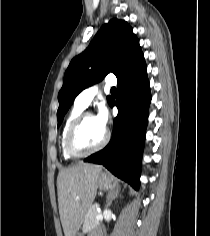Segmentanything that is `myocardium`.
Returning a JSON list of instances; mask_svg holds the SVG:
<instances>
[{"label": "myocardium", "instance_id": "f54148a6", "mask_svg": "<svg viewBox=\"0 0 210 236\" xmlns=\"http://www.w3.org/2000/svg\"><path fill=\"white\" fill-rule=\"evenodd\" d=\"M90 116H93V114L91 112L80 113L72 121V123L70 124V126L67 130V134H66V138H65V148H66L67 153L72 157H82V156H86V155L95 153V152L101 150L103 147H105L109 141V132L107 130H105L104 137L98 145L91 147V148H82L77 145V143H76L77 133H78L82 123L84 122V120Z\"/></svg>", "mask_w": 210, "mask_h": 236}]
</instances>
